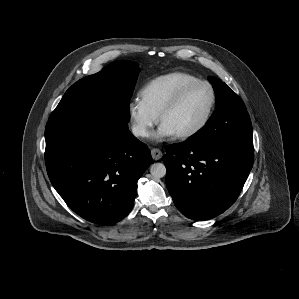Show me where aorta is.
Instances as JSON below:
<instances>
[{
    "instance_id": "1",
    "label": "aorta",
    "mask_w": 299,
    "mask_h": 299,
    "mask_svg": "<svg viewBox=\"0 0 299 299\" xmlns=\"http://www.w3.org/2000/svg\"><path fill=\"white\" fill-rule=\"evenodd\" d=\"M150 173L154 178H162L166 175V167L162 163H154L150 166Z\"/></svg>"
}]
</instances>
